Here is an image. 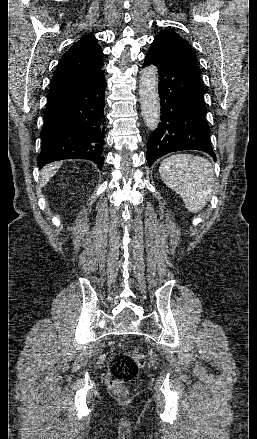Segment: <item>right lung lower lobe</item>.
Instances as JSON below:
<instances>
[{
	"instance_id": "98d812e1",
	"label": "right lung lower lobe",
	"mask_w": 257,
	"mask_h": 439,
	"mask_svg": "<svg viewBox=\"0 0 257 439\" xmlns=\"http://www.w3.org/2000/svg\"><path fill=\"white\" fill-rule=\"evenodd\" d=\"M104 71L54 89L48 95L41 131L39 168L57 160H91L102 169L105 135Z\"/></svg>"
}]
</instances>
